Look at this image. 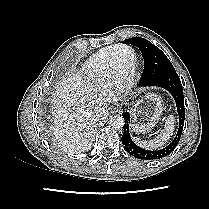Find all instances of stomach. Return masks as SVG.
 <instances>
[{
	"mask_svg": "<svg viewBox=\"0 0 209 209\" xmlns=\"http://www.w3.org/2000/svg\"><path fill=\"white\" fill-rule=\"evenodd\" d=\"M163 111L159 95L149 92L140 97L132 106V130L138 133L150 132Z\"/></svg>",
	"mask_w": 209,
	"mask_h": 209,
	"instance_id": "0dacf381",
	"label": "stomach"
}]
</instances>
